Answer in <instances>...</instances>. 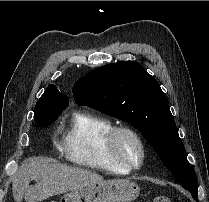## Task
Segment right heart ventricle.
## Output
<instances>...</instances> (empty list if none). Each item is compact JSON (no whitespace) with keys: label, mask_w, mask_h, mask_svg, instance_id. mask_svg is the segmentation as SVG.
<instances>
[{"label":"right heart ventricle","mask_w":209,"mask_h":202,"mask_svg":"<svg viewBox=\"0 0 209 202\" xmlns=\"http://www.w3.org/2000/svg\"><path fill=\"white\" fill-rule=\"evenodd\" d=\"M114 123L92 112L79 113L67 125L63 136V156L73 164L112 173H129L106 153L105 140Z\"/></svg>","instance_id":"e07e8e85"}]
</instances>
